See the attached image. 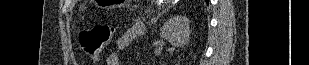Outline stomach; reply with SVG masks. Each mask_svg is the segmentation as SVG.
Returning a JSON list of instances; mask_svg holds the SVG:
<instances>
[{
    "label": "stomach",
    "mask_w": 309,
    "mask_h": 65,
    "mask_svg": "<svg viewBox=\"0 0 309 65\" xmlns=\"http://www.w3.org/2000/svg\"><path fill=\"white\" fill-rule=\"evenodd\" d=\"M97 3L100 8L109 10L122 7L126 0H99Z\"/></svg>",
    "instance_id": "obj_1"
}]
</instances>
